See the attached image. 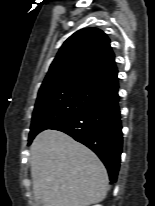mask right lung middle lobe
Masks as SVG:
<instances>
[{
  "label": "right lung middle lobe",
  "instance_id": "right-lung-middle-lobe-1",
  "mask_svg": "<svg viewBox=\"0 0 155 206\" xmlns=\"http://www.w3.org/2000/svg\"><path fill=\"white\" fill-rule=\"evenodd\" d=\"M105 93L87 86H70L46 90L38 93L32 115L29 143L43 130L80 113Z\"/></svg>",
  "mask_w": 155,
  "mask_h": 206
}]
</instances>
